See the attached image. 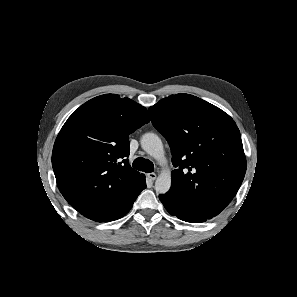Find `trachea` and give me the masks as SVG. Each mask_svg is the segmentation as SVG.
Wrapping results in <instances>:
<instances>
[{"mask_svg": "<svg viewBox=\"0 0 297 297\" xmlns=\"http://www.w3.org/2000/svg\"><path fill=\"white\" fill-rule=\"evenodd\" d=\"M133 168L146 173H151L154 171L153 163L150 160L142 157H138L133 161Z\"/></svg>", "mask_w": 297, "mask_h": 297, "instance_id": "trachea-1", "label": "trachea"}]
</instances>
